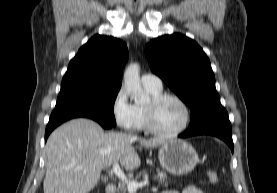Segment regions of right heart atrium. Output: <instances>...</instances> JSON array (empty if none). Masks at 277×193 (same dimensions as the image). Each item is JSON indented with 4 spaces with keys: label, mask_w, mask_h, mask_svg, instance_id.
Returning a JSON list of instances; mask_svg holds the SVG:
<instances>
[{
    "label": "right heart atrium",
    "mask_w": 277,
    "mask_h": 193,
    "mask_svg": "<svg viewBox=\"0 0 277 193\" xmlns=\"http://www.w3.org/2000/svg\"><path fill=\"white\" fill-rule=\"evenodd\" d=\"M111 112L120 128L129 131L138 129L139 120L136 108L129 102L123 88L116 92L111 104Z\"/></svg>",
    "instance_id": "d8ad5b80"
}]
</instances>
